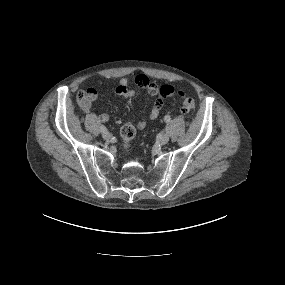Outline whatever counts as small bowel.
Masks as SVG:
<instances>
[{
    "mask_svg": "<svg viewBox=\"0 0 285 285\" xmlns=\"http://www.w3.org/2000/svg\"><path fill=\"white\" fill-rule=\"evenodd\" d=\"M136 85L145 90L150 96L154 97L153 106L147 117L136 123V128L142 130L146 127L148 120H155L158 118L160 111L163 107L164 99H172L176 95V90L170 85L159 86L155 82L150 81L146 76L139 75L136 80ZM116 94L126 99H132L135 96V90L130 85L127 79H121L115 88ZM97 99V92L91 89L81 104L82 109L89 113L92 110L93 103ZM98 119L105 123L108 121L109 116L106 113L98 115Z\"/></svg>",
    "mask_w": 285,
    "mask_h": 285,
    "instance_id": "c3829d8e",
    "label": "small bowel"
}]
</instances>
